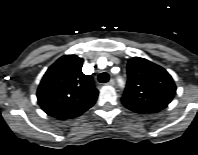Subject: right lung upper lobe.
Segmentation results:
<instances>
[{"label":"right lung upper lobe","mask_w":198,"mask_h":155,"mask_svg":"<svg viewBox=\"0 0 198 155\" xmlns=\"http://www.w3.org/2000/svg\"><path fill=\"white\" fill-rule=\"evenodd\" d=\"M83 59L76 55L59 58L45 73L37 91L38 103L58 119L74 118L92 107L98 90L90 75L82 73Z\"/></svg>","instance_id":"1"}]
</instances>
